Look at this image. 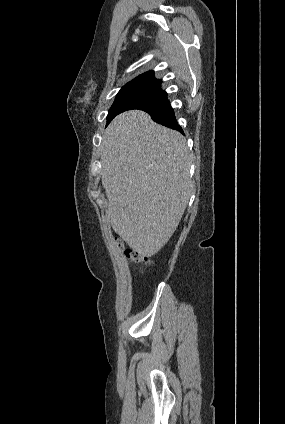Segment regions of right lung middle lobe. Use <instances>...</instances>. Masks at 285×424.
I'll use <instances>...</instances> for the list:
<instances>
[{
	"label": "right lung middle lobe",
	"instance_id": "right-lung-middle-lobe-1",
	"mask_svg": "<svg viewBox=\"0 0 285 424\" xmlns=\"http://www.w3.org/2000/svg\"><path fill=\"white\" fill-rule=\"evenodd\" d=\"M160 89L161 84H136L122 87L108 112L107 123L116 115L123 112L133 101L154 94Z\"/></svg>",
	"mask_w": 285,
	"mask_h": 424
}]
</instances>
